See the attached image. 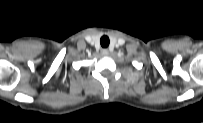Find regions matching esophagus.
Returning a JSON list of instances; mask_svg holds the SVG:
<instances>
[{"mask_svg":"<svg viewBox=\"0 0 203 123\" xmlns=\"http://www.w3.org/2000/svg\"><path fill=\"white\" fill-rule=\"evenodd\" d=\"M101 53H102L103 56H107L109 54V51H108V49H103L101 51Z\"/></svg>","mask_w":203,"mask_h":123,"instance_id":"34e87169","label":"esophagus"}]
</instances>
